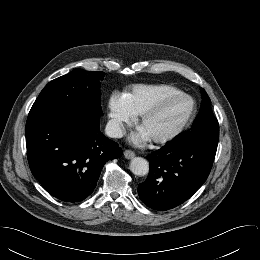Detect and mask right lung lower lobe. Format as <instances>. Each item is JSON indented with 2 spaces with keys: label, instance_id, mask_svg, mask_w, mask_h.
Instances as JSON below:
<instances>
[{
  "label": "right lung lower lobe",
  "instance_id": "right-lung-lower-lobe-1",
  "mask_svg": "<svg viewBox=\"0 0 260 260\" xmlns=\"http://www.w3.org/2000/svg\"><path fill=\"white\" fill-rule=\"evenodd\" d=\"M100 114L78 108L31 109L25 134L34 177L52 196L80 202L94 191L104 164L122 155L99 131Z\"/></svg>",
  "mask_w": 260,
  "mask_h": 260
}]
</instances>
